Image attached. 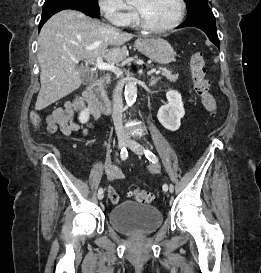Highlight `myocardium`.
Returning a JSON list of instances; mask_svg holds the SVG:
<instances>
[{
    "mask_svg": "<svg viewBox=\"0 0 261 273\" xmlns=\"http://www.w3.org/2000/svg\"><path fill=\"white\" fill-rule=\"evenodd\" d=\"M177 2L179 4L180 11H179V15H178L177 19L172 24L165 26V27H154L147 21V19L145 18V16L141 12V10H139L138 8H135L138 24L144 30H146L148 32H152V33H166V32H169V31L175 29L183 22L184 17H185V13H186L185 1L184 0H177Z\"/></svg>",
    "mask_w": 261,
    "mask_h": 273,
    "instance_id": "f54148a6",
    "label": "myocardium"
}]
</instances>
